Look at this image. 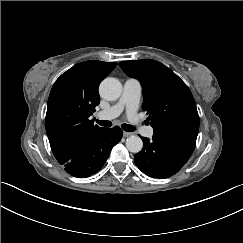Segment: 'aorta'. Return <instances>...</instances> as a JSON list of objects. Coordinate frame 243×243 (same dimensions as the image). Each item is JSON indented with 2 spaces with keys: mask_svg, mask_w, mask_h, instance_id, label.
I'll return each instance as SVG.
<instances>
[{
  "mask_svg": "<svg viewBox=\"0 0 243 243\" xmlns=\"http://www.w3.org/2000/svg\"><path fill=\"white\" fill-rule=\"evenodd\" d=\"M122 92V85L116 78H106L99 86L100 96L108 101L117 100ZM143 147L141 138L137 135H132L126 139V148L133 153H138Z\"/></svg>",
  "mask_w": 243,
  "mask_h": 243,
  "instance_id": "1",
  "label": "aorta"
}]
</instances>
